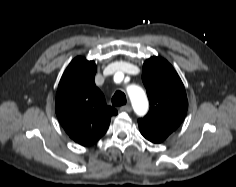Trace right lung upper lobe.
Wrapping results in <instances>:
<instances>
[{
	"label": "right lung upper lobe",
	"mask_w": 236,
	"mask_h": 187,
	"mask_svg": "<svg viewBox=\"0 0 236 187\" xmlns=\"http://www.w3.org/2000/svg\"><path fill=\"white\" fill-rule=\"evenodd\" d=\"M93 61L76 57L65 70L56 93L55 111L69 137L82 146L94 144L107 131L117 111L107 106L96 87Z\"/></svg>",
	"instance_id": "right-lung-upper-lobe-1"
}]
</instances>
